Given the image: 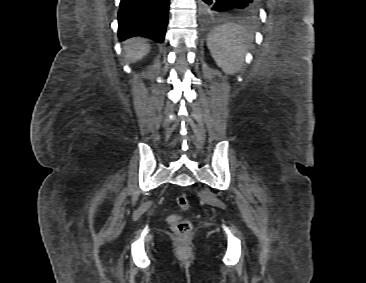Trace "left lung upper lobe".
<instances>
[{"label":"left lung upper lobe","mask_w":366,"mask_h":283,"mask_svg":"<svg viewBox=\"0 0 366 283\" xmlns=\"http://www.w3.org/2000/svg\"><path fill=\"white\" fill-rule=\"evenodd\" d=\"M257 10H258V7L254 8L253 10H249L248 12H250V13H254V12H256Z\"/></svg>","instance_id":"1"}]
</instances>
